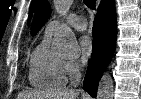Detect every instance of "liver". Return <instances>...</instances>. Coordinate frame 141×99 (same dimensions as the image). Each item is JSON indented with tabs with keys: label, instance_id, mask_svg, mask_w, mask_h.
<instances>
[{
	"label": "liver",
	"instance_id": "liver-1",
	"mask_svg": "<svg viewBox=\"0 0 141 99\" xmlns=\"http://www.w3.org/2000/svg\"><path fill=\"white\" fill-rule=\"evenodd\" d=\"M78 90H62L44 92L38 90L24 91L18 94L17 99H77Z\"/></svg>",
	"mask_w": 141,
	"mask_h": 99
}]
</instances>
